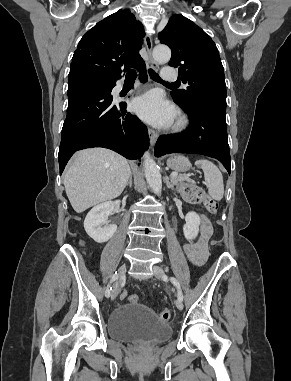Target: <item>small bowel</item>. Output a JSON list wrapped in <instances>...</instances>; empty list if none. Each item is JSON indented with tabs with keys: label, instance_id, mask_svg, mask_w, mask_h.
<instances>
[{
	"label": "small bowel",
	"instance_id": "obj_1",
	"mask_svg": "<svg viewBox=\"0 0 291 381\" xmlns=\"http://www.w3.org/2000/svg\"><path fill=\"white\" fill-rule=\"evenodd\" d=\"M200 236L196 241L184 245V251L194 265H201L207 254L208 240L212 235V226L204 215H199Z\"/></svg>",
	"mask_w": 291,
	"mask_h": 381
}]
</instances>
